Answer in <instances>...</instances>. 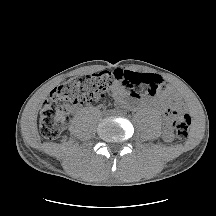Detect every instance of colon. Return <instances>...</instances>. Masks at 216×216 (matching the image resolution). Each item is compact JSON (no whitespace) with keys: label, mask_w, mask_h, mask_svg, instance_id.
<instances>
[{"label":"colon","mask_w":216,"mask_h":216,"mask_svg":"<svg viewBox=\"0 0 216 216\" xmlns=\"http://www.w3.org/2000/svg\"><path fill=\"white\" fill-rule=\"evenodd\" d=\"M135 84L138 83L134 75L122 70L103 71L64 82L52 91L41 108V134L47 139L59 137L68 114L75 107L99 101L117 85L131 87ZM167 116L175 127L176 137L186 140L191 124L189 114L181 107L170 109Z\"/></svg>","instance_id":"1"}]
</instances>
